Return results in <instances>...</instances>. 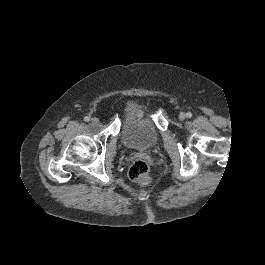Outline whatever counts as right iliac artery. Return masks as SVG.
<instances>
[{"instance_id": "82829eb1", "label": "right iliac artery", "mask_w": 265, "mask_h": 265, "mask_svg": "<svg viewBox=\"0 0 265 265\" xmlns=\"http://www.w3.org/2000/svg\"><path fill=\"white\" fill-rule=\"evenodd\" d=\"M84 121L85 122H89L90 121V117H88V116L84 117Z\"/></svg>"}]
</instances>
